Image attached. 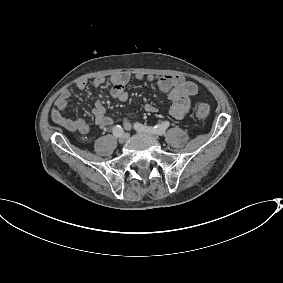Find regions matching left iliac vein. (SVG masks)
<instances>
[{
    "label": "left iliac vein",
    "instance_id": "obj_1",
    "mask_svg": "<svg viewBox=\"0 0 283 283\" xmlns=\"http://www.w3.org/2000/svg\"><path fill=\"white\" fill-rule=\"evenodd\" d=\"M135 130H137L139 133H142V134L151 136V137H153L154 139L159 140V137H158L157 135H154L153 133L145 132V131L139 130V129H137V128H135Z\"/></svg>",
    "mask_w": 283,
    "mask_h": 283
}]
</instances>
